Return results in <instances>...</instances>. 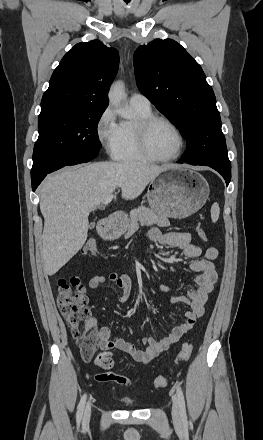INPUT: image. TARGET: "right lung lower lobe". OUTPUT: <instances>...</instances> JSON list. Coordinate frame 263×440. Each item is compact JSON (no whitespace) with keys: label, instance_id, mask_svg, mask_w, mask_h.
I'll return each mask as SVG.
<instances>
[{"label":"right lung lower lobe","instance_id":"obj_1","mask_svg":"<svg viewBox=\"0 0 263 440\" xmlns=\"http://www.w3.org/2000/svg\"><path fill=\"white\" fill-rule=\"evenodd\" d=\"M97 155H98V152H86L85 155H84V160H83L82 163H84V162H89L90 160H92V159H94L95 157H97ZM64 166H65V165H58V166L54 167V168H53L51 171H49L48 173H51V172H53V171H55V170H58V169H60V168H62V167H64ZM48 173H46V174H44V175H42V176H40V177H38V178L31 179V180H32V190H33V191L36 190V188L38 187V185L41 183V181L46 177V175H47Z\"/></svg>","mask_w":263,"mask_h":440}]
</instances>
